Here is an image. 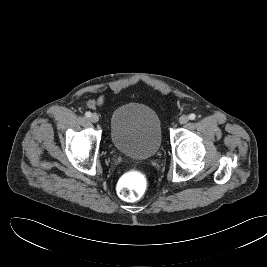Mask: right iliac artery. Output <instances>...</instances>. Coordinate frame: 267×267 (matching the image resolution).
I'll list each match as a JSON object with an SVG mask.
<instances>
[{
    "instance_id": "82829eb1",
    "label": "right iliac artery",
    "mask_w": 267,
    "mask_h": 267,
    "mask_svg": "<svg viewBox=\"0 0 267 267\" xmlns=\"http://www.w3.org/2000/svg\"><path fill=\"white\" fill-rule=\"evenodd\" d=\"M91 115H92L91 112H89V111L85 112V116H86V117L89 118V117H91Z\"/></svg>"
}]
</instances>
